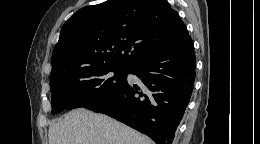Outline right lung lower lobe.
Here are the masks:
<instances>
[{"label":"right lung lower lobe","instance_id":"obj_1","mask_svg":"<svg viewBox=\"0 0 260 144\" xmlns=\"http://www.w3.org/2000/svg\"><path fill=\"white\" fill-rule=\"evenodd\" d=\"M196 58L190 36L150 53L128 67L139 78L126 81L107 98L84 108L104 113L148 135L156 144H172L192 95Z\"/></svg>","mask_w":260,"mask_h":144}]
</instances>
